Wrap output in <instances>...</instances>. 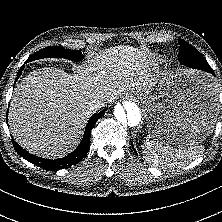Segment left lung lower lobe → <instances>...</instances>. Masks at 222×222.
Instances as JSON below:
<instances>
[{"label": "left lung lower lobe", "mask_w": 222, "mask_h": 222, "mask_svg": "<svg viewBox=\"0 0 222 222\" xmlns=\"http://www.w3.org/2000/svg\"><path fill=\"white\" fill-rule=\"evenodd\" d=\"M183 65H185V66H187V67L195 68V69H200V65H197V64L191 62L190 60L185 61ZM200 70H201V69H200ZM206 72L215 75L214 72H213V70H207Z\"/></svg>", "instance_id": "obj_1"}]
</instances>
